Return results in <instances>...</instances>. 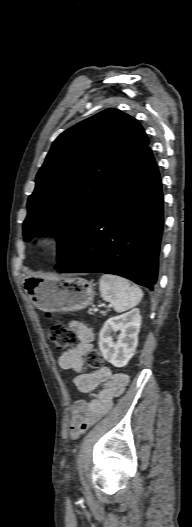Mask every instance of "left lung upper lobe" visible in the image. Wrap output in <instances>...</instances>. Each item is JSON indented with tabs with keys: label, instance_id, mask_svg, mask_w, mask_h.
Returning <instances> with one entry per match:
<instances>
[{
	"label": "left lung upper lobe",
	"instance_id": "left-lung-upper-lobe-1",
	"mask_svg": "<svg viewBox=\"0 0 192 527\" xmlns=\"http://www.w3.org/2000/svg\"><path fill=\"white\" fill-rule=\"evenodd\" d=\"M148 144L137 120L113 108L60 134L28 199L25 241L56 235L60 261L109 188Z\"/></svg>",
	"mask_w": 192,
	"mask_h": 527
}]
</instances>
